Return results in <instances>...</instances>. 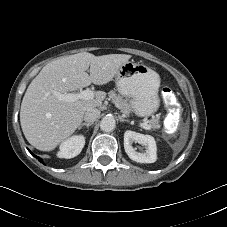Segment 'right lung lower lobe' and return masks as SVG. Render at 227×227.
Returning a JSON list of instances; mask_svg holds the SVG:
<instances>
[{
  "label": "right lung lower lobe",
  "mask_w": 227,
  "mask_h": 227,
  "mask_svg": "<svg viewBox=\"0 0 227 227\" xmlns=\"http://www.w3.org/2000/svg\"><path fill=\"white\" fill-rule=\"evenodd\" d=\"M32 154V153H31ZM33 156H35L40 162H42V159L37 157L36 155L32 154Z\"/></svg>",
  "instance_id": "right-lung-lower-lobe-1"
}]
</instances>
